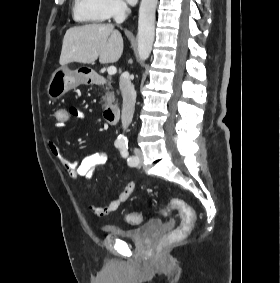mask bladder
Segmentation results:
<instances>
[{"label":"bladder","instance_id":"obj_1","mask_svg":"<svg viewBox=\"0 0 280 283\" xmlns=\"http://www.w3.org/2000/svg\"><path fill=\"white\" fill-rule=\"evenodd\" d=\"M164 225V221L159 218L149 219L142 225L126 228L124 226L111 224L103 227V231L109 235H115L123 239L134 242H141L153 233L160 230Z\"/></svg>","mask_w":280,"mask_h":283}]
</instances>
